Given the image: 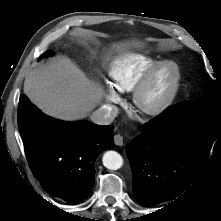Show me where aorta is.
Masks as SVG:
<instances>
[{
	"instance_id": "obj_1",
	"label": "aorta",
	"mask_w": 221,
	"mask_h": 221,
	"mask_svg": "<svg viewBox=\"0 0 221 221\" xmlns=\"http://www.w3.org/2000/svg\"><path fill=\"white\" fill-rule=\"evenodd\" d=\"M102 161L103 165L110 170H117L123 165V158L116 151L105 152Z\"/></svg>"
}]
</instances>
